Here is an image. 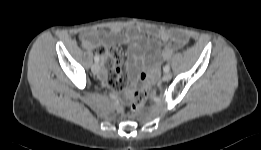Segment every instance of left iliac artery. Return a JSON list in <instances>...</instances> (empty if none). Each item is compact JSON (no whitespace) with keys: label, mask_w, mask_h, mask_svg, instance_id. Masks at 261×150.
Segmentation results:
<instances>
[{"label":"left iliac artery","mask_w":261,"mask_h":150,"mask_svg":"<svg viewBox=\"0 0 261 150\" xmlns=\"http://www.w3.org/2000/svg\"><path fill=\"white\" fill-rule=\"evenodd\" d=\"M169 70H170L169 65H166V66L164 67V71H165V72H168Z\"/></svg>","instance_id":"left-iliac-artery-1"}]
</instances>
